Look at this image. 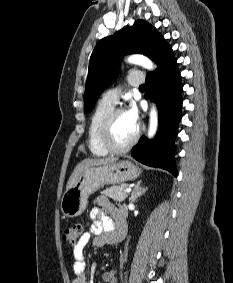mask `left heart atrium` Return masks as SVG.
<instances>
[{"label": "left heart atrium", "instance_id": "left-heart-atrium-1", "mask_svg": "<svg viewBox=\"0 0 233 283\" xmlns=\"http://www.w3.org/2000/svg\"><path fill=\"white\" fill-rule=\"evenodd\" d=\"M126 113L130 117V119L137 124L138 123V109L136 105L131 104L129 108L126 110Z\"/></svg>", "mask_w": 233, "mask_h": 283}]
</instances>
